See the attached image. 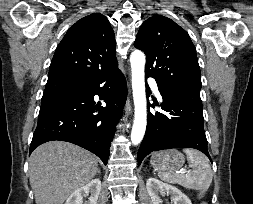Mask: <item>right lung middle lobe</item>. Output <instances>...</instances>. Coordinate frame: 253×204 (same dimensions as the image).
<instances>
[{
  "mask_svg": "<svg viewBox=\"0 0 253 204\" xmlns=\"http://www.w3.org/2000/svg\"><path fill=\"white\" fill-rule=\"evenodd\" d=\"M79 85L80 84L67 81L47 82L43 96L74 90Z\"/></svg>",
  "mask_w": 253,
  "mask_h": 204,
  "instance_id": "1",
  "label": "right lung middle lobe"
}]
</instances>
